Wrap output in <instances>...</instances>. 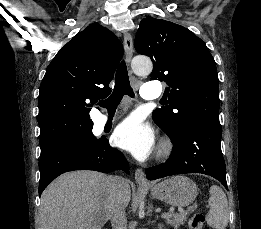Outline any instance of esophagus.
Masks as SVG:
<instances>
[{
    "label": "esophagus",
    "instance_id": "esophagus-1",
    "mask_svg": "<svg viewBox=\"0 0 261 229\" xmlns=\"http://www.w3.org/2000/svg\"><path fill=\"white\" fill-rule=\"evenodd\" d=\"M124 50L126 56V62L129 64L133 56V41L128 32H124ZM135 180L140 186H149L150 182L146 179L145 173L142 169L136 168Z\"/></svg>",
    "mask_w": 261,
    "mask_h": 229
}]
</instances>
